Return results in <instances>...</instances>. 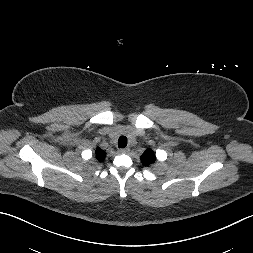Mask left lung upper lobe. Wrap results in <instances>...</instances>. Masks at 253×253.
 <instances>
[{
  "label": "left lung upper lobe",
  "mask_w": 253,
  "mask_h": 253,
  "mask_svg": "<svg viewBox=\"0 0 253 253\" xmlns=\"http://www.w3.org/2000/svg\"><path fill=\"white\" fill-rule=\"evenodd\" d=\"M141 161L144 166H148L155 161V155L151 149H147L141 156Z\"/></svg>",
  "instance_id": "obj_1"
}]
</instances>
